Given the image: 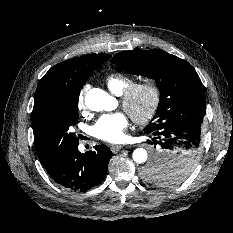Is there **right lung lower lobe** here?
<instances>
[{"label": "right lung lower lobe", "instance_id": "1", "mask_svg": "<svg viewBox=\"0 0 233 233\" xmlns=\"http://www.w3.org/2000/svg\"><path fill=\"white\" fill-rule=\"evenodd\" d=\"M78 145L73 144L39 159L56 183L83 192L101 183L113 153L105 145H96L94 151L82 154Z\"/></svg>", "mask_w": 233, "mask_h": 233}]
</instances>
